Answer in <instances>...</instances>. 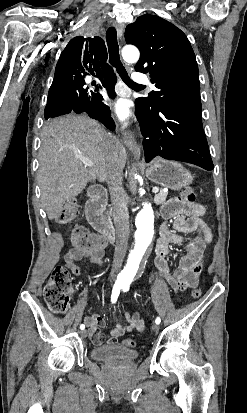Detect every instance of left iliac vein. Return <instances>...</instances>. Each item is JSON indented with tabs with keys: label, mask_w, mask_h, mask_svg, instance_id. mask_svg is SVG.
<instances>
[{
	"label": "left iliac vein",
	"mask_w": 247,
	"mask_h": 413,
	"mask_svg": "<svg viewBox=\"0 0 247 413\" xmlns=\"http://www.w3.org/2000/svg\"><path fill=\"white\" fill-rule=\"evenodd\" d=\"M152 330H153L154 332H158V331H159V325H158V324H154V325L152 326Z\"/></svg>",
	"instance_id": "left-iliac-vein-1"
}]
</instances>
